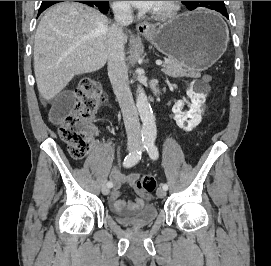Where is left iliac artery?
<instances>
[{
	"instance_id": "44dca946",
	"label": "left iliac artery",
	"mask_w": 271,
	"mask_h": 266,
	"mask_svg": "<svg viewBox=\"0 0 271 266\" xmlns=\"http://www.w3.org/2000/svg\"><path fill=\"white\" fill-rule=\"evenodd\" d=\"M146 149H147V152H148L151 159L155 160L158 158V156H159L158 149H157V147L155 145V141L153 139L148 141ZM161 186L165 190L168 189V185L165 183H162Z\"/></svg>"
}]
</instances>
